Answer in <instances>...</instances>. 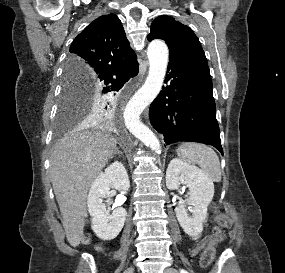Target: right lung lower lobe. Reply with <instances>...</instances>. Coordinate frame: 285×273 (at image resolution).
<instances>
[{"label":"right lung lower lobe","instance_id":"obj_1","mask_svg":"<svg viewBox=\"0 0 285 273\" xmlns=\"http://www.w3.org/2000/svg\"><path fill=\"white\" fill-rule=\"evenodd\" d=\"M138 62L133 60L124 65L108 69L102 73H99L89 83L94 89L100 90L102 93H109L115 95L125 83L132 77L138 74ZM110 103V101H109ZM104 105L101 112V119L111 117L113 111V104Z\"/></svg>","mask_w":285,"mask_h":273}]
</instances>
